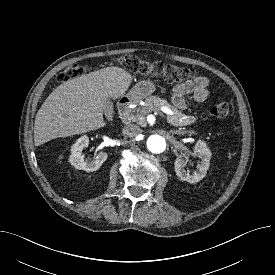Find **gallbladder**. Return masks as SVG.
<instances>
[{"label": "gallbladder", "mask_w": 275, "mask_h": 275, "mask_svg": "<svg viewBox=\"0 0 275 275\" xmlns=\"http://www.w3.org/2000/svg\"><path fill=\"white\" fill-rule=\"evenodd\" d=\"M104 111L106 114H110L113 111V104L109 99L104 103Z\"/></svg>", "instance_id": "bac80fb5"}]
</instances>
